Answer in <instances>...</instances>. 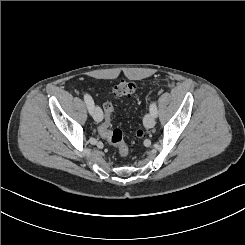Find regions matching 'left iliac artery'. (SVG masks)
<instances>
[{"label":"left iliac artery","instance_id":"left-iliac-artery-1","mask_svg":"<svg viewBox=\"0 0 245 245\" xmlns=\"http://www.w3.org/2000/svg\"><path fill=\"white\" fill-rule=\"evenodd\" d=\"M150 113L153 115V116H155L156 117V115H157V106H156V103L155 102H152L151 104H150Z\"/></svg>","mask_w":245,"mask_h":245}]
</instances>
